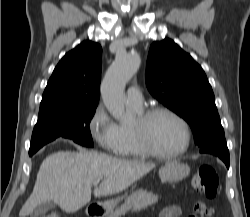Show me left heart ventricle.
<instances>
[{"label":"left heart ventricle","instance_id":"b2bd125f","mask_svg":"<svg viewBox=\"0 0 250 217\" xmlns=\"http://www.w3.org/2000/svg\"><path fill=\"white\" fill-rule=\"evenodd\" d=\"M147 133L152 145L163 153L176 151L184 144L182 126L173 117L164 113L151 118L147 125Z\"/></svg>","mask_w":250,"mask_h":217}]
</instances>
